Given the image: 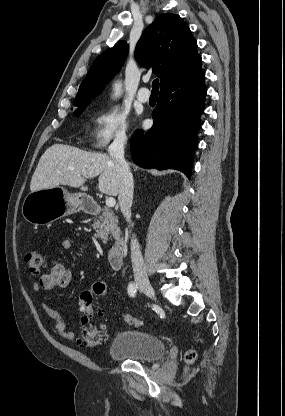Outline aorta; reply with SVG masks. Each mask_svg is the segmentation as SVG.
Returning a JSON list of instances; mask_svg holds the SVG:
<instances>
[{
    "label": "aorta",
    "mask_w": 285,
    "mask_h": 416,
    "mask_svg": "<svg viewBox=\"0 0 285 416\" xmlns=\"http://www.w3.org/2000/svg\"><path fill=\"white\" fill-rule=\"evenodd\" d=\"M122 91V84L121 82H117L114 85V93H115V97L119 96L121 94Z\"/></svg>",
    "instance_id": "obj_1"
}]
</instances>
